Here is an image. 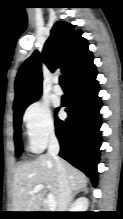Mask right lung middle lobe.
Wrapping results in <instances>:
<instances>
[{
	"label": "right lung middle lobe",
	"instance_id": "obj_1",
	"mask_svg": "<svg viewBox=\"0 0 123 219\" xmlns=\"http://www.w3.org/2000/svg\"><path fill=\"white\" fill-rule=\"evenodd\" d=\"M38 98L31 100L19 108L14 110V142H15V153L20 156L22 153V142H21V121L24 110L28 105L36 101Z\"/></svg>",
	"mask_w": 123,
	"mask_h": 219
}]
</instances>
